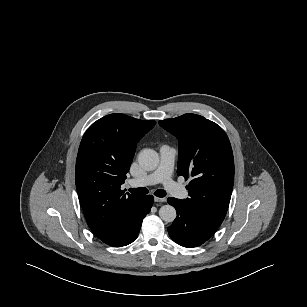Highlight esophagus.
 I'll return each instance as SVG.
<instances>
[{"label":"esophagus","mask_w":307,"mask_h":307,"mask_svg":"<svg viewBox=\"0 0 307 307\" xmlns=\"http://www.w3.org/2000/svg\"><path fill=\"white\" fill-rule=\"evenodd\" d=\"M155 202H165L166 198L154 197Z\"/></svg>","instance_id":"obj_1"}]
</instances>
